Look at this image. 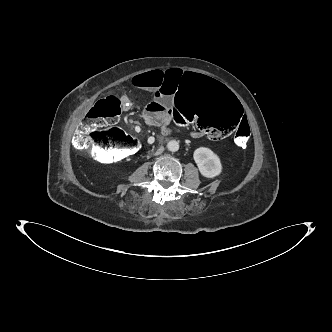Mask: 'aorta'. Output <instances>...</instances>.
<instances>
[{"label":"aorta","mask_w":332,"mask_h":332,"mask_svg":"<svg viewBox=\"0 0 332 332\" xmlns=\"http://www.w3.org/2000/svg\"><path fill=\"white\" fill-rule=\"evenodd\" d=\"M167 148L171 152H176L179 149V143L176 140H171L167 144Z\"/></svg>","instance_id":"aorta-1"}]
</instances>
